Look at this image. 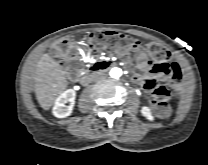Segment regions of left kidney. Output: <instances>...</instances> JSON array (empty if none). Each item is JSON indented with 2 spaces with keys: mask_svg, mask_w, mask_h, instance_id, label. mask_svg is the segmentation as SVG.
I'll use <instances>...</instances> for the list:
<instances>
[{
  "mask_svg": "<svg viewBox=\"0 0 208 165\" xmlns=\"http://www.w3.org/2000/svg\"><path fill=\"white\" fill-rule=\"evenodd\" d=\"M141 113L149 121H152L154 119V117L152 116L150 108L147 107V106H143L141 108Z\"/></svg>",
  "mask_w": 208,
  "mask_h": 165,
  "instance_id": "1",
  "label": "left kidney"
}]
</instances>
